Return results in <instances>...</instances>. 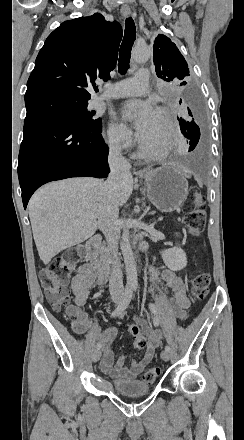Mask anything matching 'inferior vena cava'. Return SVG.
<instances>
[{
    "instance_id": "inferior-vena-cava-1",
    "label": "inferior vena cava",
    "mask_w": 244,
    "mask_h": 440,
    "mask_svg": "<svg viewBox=\"0 0 244 440\" xmlns=\"http://www.w3.org/2000/svg\"><path fill=\"white\" fill-rule=\"evenodd\" d=\"M108 164L111 172L103 186L105 194L102 200L103 206L99 210L98 228L103 232L107 240L108 250L111 252L110 294L111 296H123V274L118 258L120 226L118 224L119 208L116 190H118L121 180L130 174L131 166L121 156L119 150H110Z\"/></svg>"
}]
</instances>
